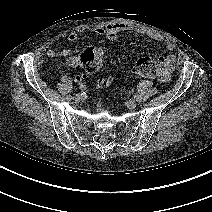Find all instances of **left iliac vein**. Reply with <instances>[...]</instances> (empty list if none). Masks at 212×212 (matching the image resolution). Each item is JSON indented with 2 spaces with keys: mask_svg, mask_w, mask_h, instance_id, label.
Segmentation results:
<instances>
[{
  "mask_svg": "<svg viewBox=\"0 0 212 212\" xmlns=\"http://www.w3.org/2000/svg\"><path fill=\"white\" fill-rule=\"evenodd\" d=\"M127 106L130 109H134L136 107V101L135 100H130L127 102Z\"/></svg>",
  "mask_w": 212,
  "mask_h": 212,
  "instance_id": "obj_1",
  "label": "left iliac vein"
}]
</instances>
